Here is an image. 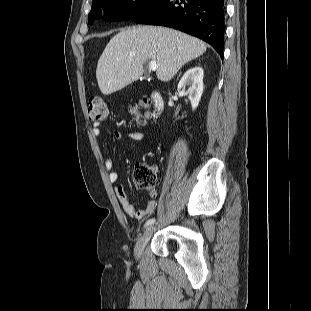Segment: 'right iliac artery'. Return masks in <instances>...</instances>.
Returning <instances> with one entry per match:
<instances>
[{
    "label": "right iliac artery",
    "mask_w": 311,
    "mask_h": 311,
    "mask_svg": "<svg viewBox=\"0 0 311 311\" xmlns=\"http://www.w3.org/2000/svg\"><path fill=\"white\" fill-rule=\"evenodd\" d=\"M154 222H155V219H154V218L149 219V220L145 223V227H148V226L152 225Z\"/></svg>",
    "instance_id": "82829eb1"
}]
</instances>
